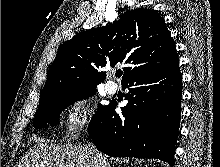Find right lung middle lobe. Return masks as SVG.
<instances>
[{
	"mask_svg": "<svg viewBox=\"0 0 220 167\" xmlns=\"http://www.w3.org/2000/svg\"><path fill=\"white\" fill-rule=\"evenodd\" d=\"M96 92V86L60 91L39 103L38 110L34 119V127L37 129L45 128L48 124L58 123L61 111L68 105L82 99H86ZM105 108L99 104L97 112L92 117L89 126L95 121L97 115Z\"/></svg>",
	"mask_w": 220,
	"mask_h": 167,
	"instance_id": "1",
	"label": "right lung middle lobe"
}]
</instances>
